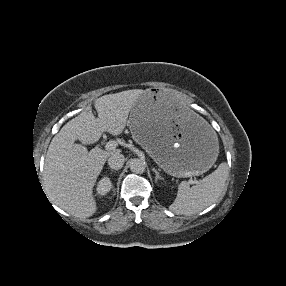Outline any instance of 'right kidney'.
Returning <instances> with one entry per match:
<instances>
[{
	"mask_svg": "<svg viewBox=\"0 0 286 286\" xmlns=\"http://www.w3.org/2000/svg\"><path fill=\"white\" fill-rule=\"evenodd\" d=\"M112 188L111 181L108 177L102 178L97 185V193L100 195H106Z\"/></svg>",
	"mask_w": 286,
	"mask_h": 286,
	"instance_id": "1",
	"label": "right kidney"
}]
</instances>
